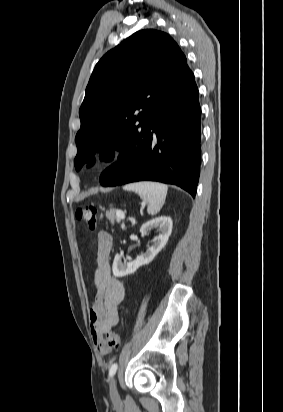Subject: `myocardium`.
<instances>
[{"label": "myocardium", "mask_w": 283, "mask_h": 412, "mask_svg": "<svg viewBox=\"0 0 283 412\" xmlns=\"http://www.w3.org/2000/svg\"><path fill=\"white\" fill-rule=\"evenodd\" d=\"M120 156V151L116 148H110L98 152L94 159V165L98 169H105L113 164Z\"/></svg>", "instance_id": "obj_1"}]
</instances>
